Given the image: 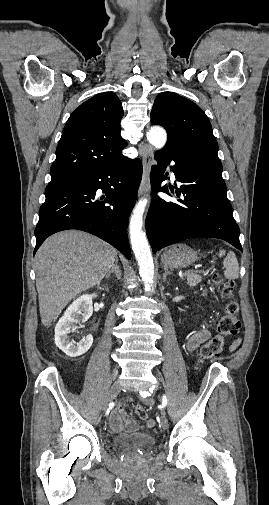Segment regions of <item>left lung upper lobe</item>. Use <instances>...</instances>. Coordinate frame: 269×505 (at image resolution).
<instances>
[{
  "label": "left lung upper lobe",
  "instance_id": "5c2ea615",
  "mask_svg": "<svg viewBox=\"0 0 269 505\" xmlns=\"http://www.w3.org/2000/svg\"><path fill=\"white\" fill-rule=\"evenodd\" d=\"M151 123L163 126L168 134L167 143L160 151L178 145L221 164L218 144L206 114L187 98L174 92L160 93L151 111Z\"/></svg>",
  "mask_w": 269,
  "mask_h": 505
}]
</instances>
